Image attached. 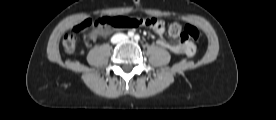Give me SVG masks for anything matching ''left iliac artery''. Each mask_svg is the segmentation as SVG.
I'll list each match as a JSON object with an SVG mask.
<instances>
[{"label":"left iliac artery","mask_w":276,"mask_h":120,"mask_svg":"<svg viewBox=\"0 0 276 120\" xmlns=\"http://www.w3.org/2000/svg\"><path fill=\"white\" fill-rule=\"evenodd\" d=\"M134 39H135L136 41H138V40L140 39V36H139V35H135V36H134Z\"/></svg>","instance_id":"obj_1"}]
</instances>
